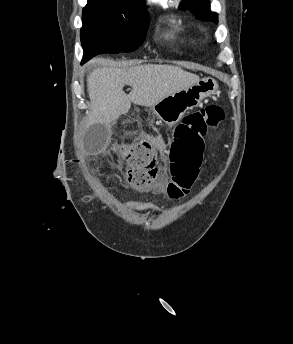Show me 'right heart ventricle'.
Masks as SVG:
<instances>
[{
  "label": "right heart ventricle",
  "mask_w": 293,
  "mask_h": 344,
  "mask_svg": "<svg viewBox=\"0 0 293 344\" xmlns=\"http://www.w3.org/2000/svg\"><path fill=\"white\" fill-rule=\"evenodd\" d=\"M175 32H179V29H178V28H176V29H175Z\"/></svg>",
  "instance_id": "1"
}]
</instances>
